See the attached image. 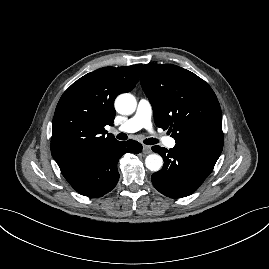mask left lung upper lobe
I'll use <instances>...</instances> for the list:
<instances>
[{"label": "left lung upper lobe", "instance_id": "left-lung-upper-lobe-1", "mask_svg": "<svg viewBox=\"0 0 269 269\" xmlns=\"http://www.w3.org/2000/svg\"><path fill=\"white\" fill-rule=\"evenodd\" d=\"M140 81L156 125L168 129L176 143L223 147L221 108L204 80L176 65L145 64Z\"/></svg>", "mask_w": 269, "mask_h": 269}]
</instances>
